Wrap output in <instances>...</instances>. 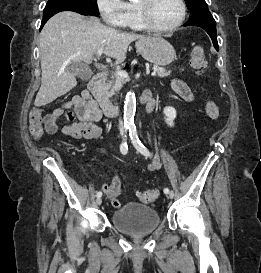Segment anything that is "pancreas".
I'll return each mask as SVG.
<instances>
[{
	"mask_svg": "<svg viewBox=\"0 0 261 273\" xmlns=\"http://www.w3.org/2000/svg\"><path fill=\"white\" fill-rule=\"evenodd\" d=\"M153 70L156 72L159 77H167L170 75L171 71L159 67L157 65L153 66ZM127 82L126 78H122L117 75V73L112 74V79L104 84L103 88L108 96H113L116 92H118L122 86Z\"/></svg>",
	"mask_w": 261,
	"mask_h": 273,
	"instance_id": "1",
	"label": "pancreas"
}]
</instances>
